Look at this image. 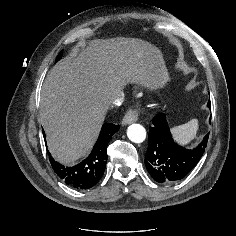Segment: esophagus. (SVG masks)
Instances as JSON below:
<instances>
[{"label":"esophagus","mask_w":236,"mask_h":236,"mask_svg":"<svg viewBox=\"0 0 236 236\" xmlns=\"http://www.w3.org/2000/svg\"><path fill=\"white\" fill-rule=\"evenodd\" d=\"M138 120V113L134 109H129L122 119V125H128Z\"/></svg>","instance_id":"obj_1"}]
</instances>
